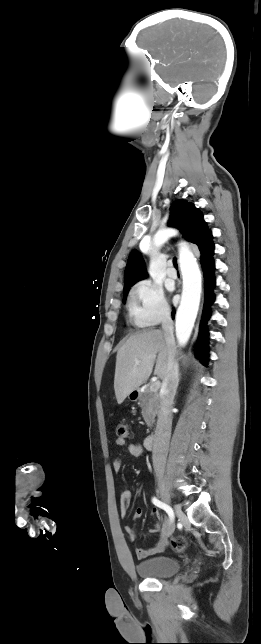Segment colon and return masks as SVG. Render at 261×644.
Wrapping results in <instances>:
<instances>
[{
	"label": "colon",
	"instance_id": "obj_1",
	"mask_svg": "<svg viewBox=\"0 0 261 644\" xmlns=\"http://www.w3.org/2000/svg\"><path fill=\"white\" fill-rule=\"evenodd\" d=\"M116 435L120 439H126L129 435L128 425L119 423L116 428ZM186 539L182 536H176L171 540V546L176 552H182L186 548Z\"/></svg>",
	"mask_w": 261,
	"mask_h": 644
}]
</instances>
